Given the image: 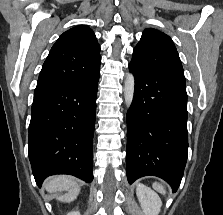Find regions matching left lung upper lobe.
<instances>
[{"mask_svg":"<svg viewBox=\"0 0 223 215\" xmlns=\"http://www.w3.org/2000/svg\"><path fill=\"white\" fill-rule=\"evenodd\" d=\"M130 63L136 68L186 85L183 67L173 41L156 29H146L143 32Z\"/></svg>","mask_w":223,"mask_h":215,"instance_id":"left-lung-upper-lobe-1","label":"left lung upper lobe"}]
</instances>
